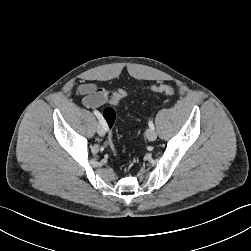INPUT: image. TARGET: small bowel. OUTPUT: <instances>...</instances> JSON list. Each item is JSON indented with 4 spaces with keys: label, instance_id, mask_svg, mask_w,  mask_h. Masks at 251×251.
Wrapping results in <instances>:
<instances>
[{
    "label": "small bowel",
    "instance_id": "1",
    "mask_svg": "<svg viewBox=\"0 0 251 251\" xmlns=\"http://www.w3.org/2000/svg\"><path fill=\"white\" fill-rule=\"evenodd\" d=\"M78 94L82 96V103L87 108H98L112 99V95L107 90L93 83L80 85Z\"/></svg>",
    "mask_w": 251,
    "mask_h": 251
}]
</instances>
